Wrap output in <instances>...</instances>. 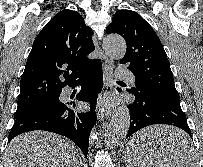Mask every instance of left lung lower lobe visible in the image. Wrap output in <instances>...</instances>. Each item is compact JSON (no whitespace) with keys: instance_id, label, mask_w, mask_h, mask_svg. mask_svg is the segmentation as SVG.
<instances>
[{"instance_id":"obj_1","label":"left lung lower lobe","mask_w":203,"mask_h":167,"mask_svg":"<svg viewBox=\"0 0 203 167\" xmlns=\"http://www.w3.org/2000/svg\"><path fill=\"white\" fill-rule=\"evenodd\" d=\"M128 92L133 94L135 99L127 106L130 112V126L127 138L146 126L167 124L181 128L192 139L186 116L180 106L178 94L162 95L153 89H146L139 93H133L130 90ZM190 138H187L188 142H183L178 146L183 150L188 148ZM145 144L148 147H153L157 145V142L147 141Z\"/></svg>"}]
</instances>
